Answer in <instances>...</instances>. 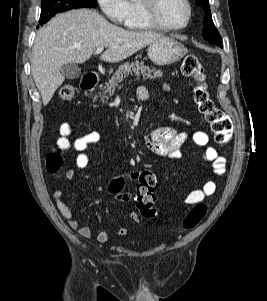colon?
I'll return each mask as SVG.
<instances>
[{
    "instance_id": "obj_1",
    "label": "colon",
    "mask_w": 267,
    "mask_h": 301,
    "mask_svg": "<svg viewBox=\"0 0 267 301\" xmlns=\"http://www.w3.org/2000/svg\"><path fill=\"white\" fill-rule=\"evenodd\" d=\"M181 71L183 75L193 78L197 84L194 89L195 102L199 112L209 123L214 134V139L219 144H226L232 138V123L211 99L207 86L203 65L194 55L184 58ZM59 96L64 101H71L75 96V88L70 84L63 85L59 90ZM63 165V156L60 150H55L46 158V168L51 173L58 172ZM128 182H137L135 204L141 215L151 218L155 214V190L157 188L156 176L149 170L133 171L124 176H118L110 180L106 187L107 194L116 199L124 191ZM207 206L205 204L195 205L186 215L182 222L184 230L195 228L205 217Z\"/></svg>"
}]
</instances>
